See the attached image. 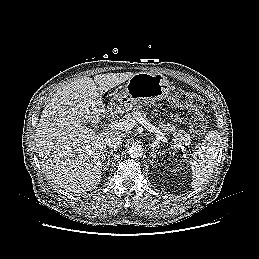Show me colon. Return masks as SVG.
<instances>
[{"instance_id":"5ec220e1","label":"colon","mask_w":259,"mask_h":259,"mask_svg":"<svg viewBox=\"0 0 259 259\" xmlns=\"http://www.w3.org/2000/svg\"><path fill=\"white\" fill-rule=\"evenodd\" d=\"M172 103L189 112V126L195 136H201L205 133L208 122L204 110V102L200 96L179 89L175 92Z\"/></svg>"}]
</instances>
